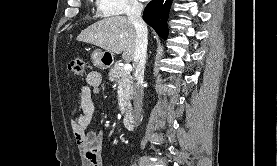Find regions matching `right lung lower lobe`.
Here are the masks:
<instances>
[{
	"mask_svg": "<svg viewBox=\"0 0 277 166\" xmlns=\"http://www.w3.org/2000/svg\"><path fill=\"white\" fill-rule=\"evenodd\" d=\"M171 0H152L143 13L144 21L155 29L157 34L167 39V18L170 10Z\"/></svg>",
	"mask_w": 277,
	"mask_h": 166,
	"instance_id": "98d812e1",
	"label": "right lung lower lobe"
}]
</instances>
